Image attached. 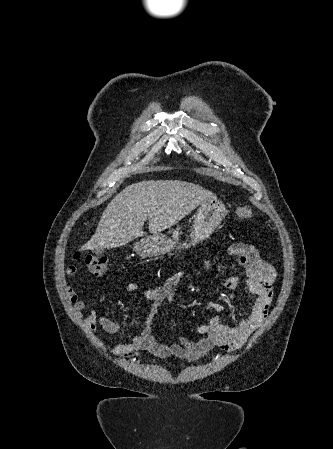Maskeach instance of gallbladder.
<instances>
[{
    "mask_svg": "<svg viewBox=\"0 0 333 449\" xmlns=\"http://www.w3.org/2000/svg\"><path fill=\"white\" fill-rule=\"evenodd\" d=\"M103 252H104L103 249H96V250L94 251V253H95L96 255H100V254H102Z\"/></svg>",
    "mask_w": 333,
    "mask_h": 449,
    "instance_id": "gallbladder-1",
    "label": "gallbladder"
}]
</instances>
